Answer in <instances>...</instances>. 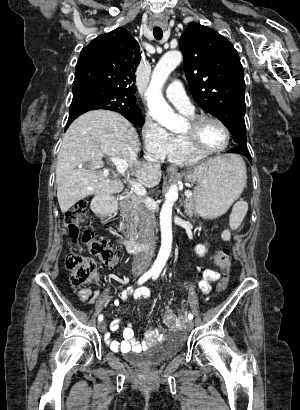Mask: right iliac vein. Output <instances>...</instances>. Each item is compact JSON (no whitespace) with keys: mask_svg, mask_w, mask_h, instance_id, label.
Wrapping results in <instances>:
<instances>
[{"mask_svg":"<svg viewBox=\"0 0 300 410\" xmlns=\"http://www.w3.org/2000/svg\"><path fill=\"white\" fill-rule=\"evenodd\" d=\"M98 329L103 332L106 330V323L105 322H99L98 323Z\"/></svg>","mask_w":300,"mask_h":410,"instance_id":"63e3f726","label":"right iliac vein"}]
</instances>
